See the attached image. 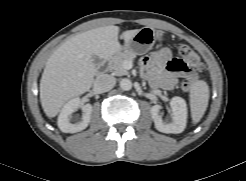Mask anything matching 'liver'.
Instances as JSON below:
<instances>
[{"instance_id": "6515ba94", "label": "liver", "mask_w": 246, "mask_h": 181, "mask_svg": "<svg viewBox=\"0 0 246 181\" xmlns=\"http://www.w3.org/2000/svg\"><path fill=\"white\" fill-rule=\"evenodd\" d=\"M140 29L127 30L122 37L128 43ZM119 27L109 25L75 35L61 44L47 60L40 80V101L45 114L55 117L71 98L87 92L96 67L93 55L108 59L117 54Z\"/></svg>"}]
</instances>
